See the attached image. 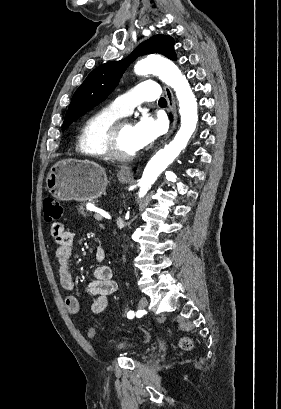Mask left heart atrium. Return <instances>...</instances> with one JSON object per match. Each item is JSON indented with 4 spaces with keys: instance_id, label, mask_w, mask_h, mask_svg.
Returning a JSON list of instances; mask_svg holds the SVG:
<instances>
[{
    "instance_id": "obj_1",
    "label": "left heart atrium",
    "mask_w": 281,
    "mask_h": 409,
    "mask_svg": "<svg viewBox=\"0 0 281 409\" xmlns=\"http://www.w3.org/2000/svg\"><path fill=\"white\" fill-rule=\"evenodd\" d=\"M164 131V123L144 116L134 126L135 142L138 149H142L154 142Z\"/></svg>"
}]
</instances>
